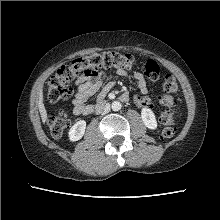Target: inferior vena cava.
Wrapping results in <instances>:
<instances>
[{
  "label": "inferior vena cava",
  "instance_id": "602c4592",
  "mask_svg": "<svg viewBox=\"0 0 220 220\" xmlns=\"http://www.w3.org/2000/svg\"><path fill=\"white\" fill-rule=\"evenodd\" d=\"M96 111H97V113L107 114L110 111V105L108 103L107 104L99 105L97 107Z\"/></svg>",
  "mask_w": 220,
  "mask_h": 220
}]
</instances>
